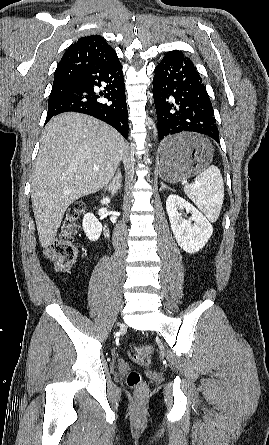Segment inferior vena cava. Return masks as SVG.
Returning <instances> with one entry per match:
<instances>
[{
  "mask_svg": "<svg viewBox=\"0 0 269 445\" xmlns=\"http://www.w3.org/2000/svg\"><path fill=\"white\" fill-rule=\"evenodd\" d=\"M117 176L113 179L114 182H116Z\"/></svg>",
  "mask_w": 269,
  "mask_h": 445,
  "instance_id": "602c4592",
  "label": "inferior vena cava"
}]
</instances>
